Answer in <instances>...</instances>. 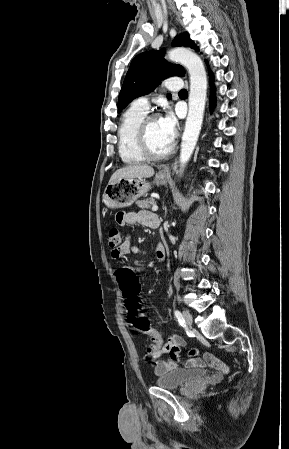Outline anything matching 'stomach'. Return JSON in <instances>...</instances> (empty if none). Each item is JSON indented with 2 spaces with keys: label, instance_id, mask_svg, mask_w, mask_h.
I'll use <instances>...</instances> for the list:
<instances>
[{
  "label": "stomach",
  "instance_id": "stomach-1",
  "mask_svg": "<svg viewBox=\"0 0 289 449\" xmlns=\"http://www.w3.org/2000/svg\"><path fill=\"white\" fill-rule=\"evenodd\" d=\"M168 175L157 173L153 183L164 185ZM151 189V183L143 178H120L108 183L104 190L103 202L111 209L131 206L139 197L145 196Z\"/></svg>",
  "mask_w": 289,
  "mask_h": 449
}]
</instances>
